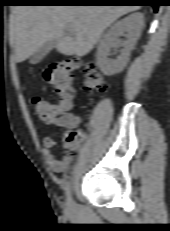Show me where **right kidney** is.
<instances>
[{
	"mask_svg": "<svg viewBox=\"0 0 170 231\" xmlns=\"http://www.w3.org/2000/svg\"><path fill=\"white\" fill-rule=\"evenodd\" d=\"M143 27L144 15L142 13H133L116 22L103 35L97 49L96 61L97 66L106 76L115 75L124 69ZM122 35L126 38L124 41L119 39ZM120 44H123V48L117 58H109L112 55L111 49L118 47Z\"/></svg>",
	"mask_w": 170,
	"mask_h": 231,
	"instance_id": "1",
	"label": "right kidney"
}]
</instances>
